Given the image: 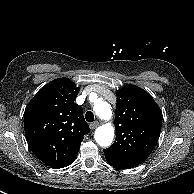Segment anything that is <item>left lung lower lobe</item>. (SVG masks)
<instances>
[{
	"label": "left lung lower lobe",
	"instance_id": "1",
	"mask_svg": "<svg viewBox=\"0 0 194 194\" xmlns=\"http://www.w3.org/2000/svg\"><path fill=\"white\" fill-rule=\"evenodd\" d=\"M106 160H107V162H108L111 166H113V167H115V168H118V169H130L129 167L120 165V164L115 163V162H113V161H111V160H108V159H106Z\"/></svg>",
	"mask_w": 194,
	"mask_h": 194
}]
</instances>
